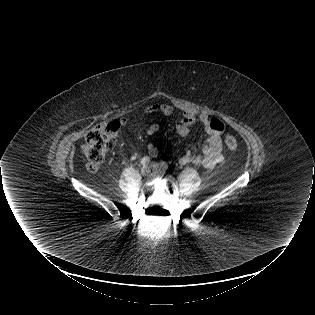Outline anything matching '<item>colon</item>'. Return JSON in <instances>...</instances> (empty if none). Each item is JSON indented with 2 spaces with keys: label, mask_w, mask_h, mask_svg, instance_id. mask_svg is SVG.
Segmentation results:
<instances>
[{
  "label": "colon",
  "mask_w": 315,
  "mask_h": 315,
  "mask_svg": "<svg viewBox=\"0 0 315 315\" xmlns=\"http://www.w3.org/2000/svg\"><path fill=\"white\" fill-rule=\"evenodd\" d=\"M121 128L118 121L101 124L93 128L85 137L82 151L86 157L87 167L90 171H96L103 162L107 151L113 146L115 137ZM226 147L230 151H236L238 141L232 135L224 139Z\"/></svg>",
  "instance_id": "obj_1"
}]
</instances>
